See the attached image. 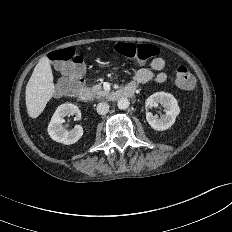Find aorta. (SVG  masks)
Segmentation results:
<instances>
[{
  "label": "aorta",
  "instance_id": "aorta-1",
  "mask_svg": "<svg viewBox=\"0 0 232 232\" xmlns=\"http://www.w3.org/2000/svg\"><path fill=\"white\" fill-rule=\"evenodd\" d=\"M129 105H130V102L127 98H120L117 102V106L121 110L127 109Z\"/></svg>",
  "mask_w": 232,
  "mask_h": 232
}]
</instances>
